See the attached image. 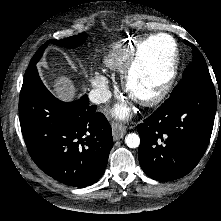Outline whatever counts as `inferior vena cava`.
I'll list each match as a JSON object with an SVG mask.
<instances>
[{"label": "inferior vena cava", "mask_w": 221, "mask_h": 221, "mask_svg": "<svg viewBox=\"0 0 221 221\" xmlns=\"http://www.w3.org/2000/svg\"><path fill=\"white\" fill-rule=\"evenodd\" d=\"M111 92L105 88H95L89 93V100L95 104H101L109 100Z\"/></svg>", "instance_id": "obj_1"}]
</instances>
